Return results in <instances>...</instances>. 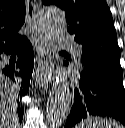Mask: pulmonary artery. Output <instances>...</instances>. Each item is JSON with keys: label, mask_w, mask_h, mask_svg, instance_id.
I'll use <instances>...</instances> for the list:
<instances>
[{"label": "pulmonary artery", "mask_w": 125, "mask_h": 128, "mask_svg": "<svg viewBox=\"0 0 125 128\" xmlns=\"http://www.w3.org/2000/svg\"><path fill=\"white\" fill-rule=\"evenodd\" d=\"M58 44L63 48H75V54L77 57L82 56V51L76 48V42L68 35H64L58 38Z\"/></svg>", "instance_id": "e3ab8cb5"}]
</instances>
